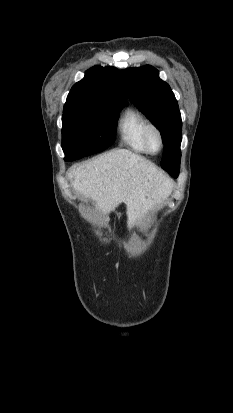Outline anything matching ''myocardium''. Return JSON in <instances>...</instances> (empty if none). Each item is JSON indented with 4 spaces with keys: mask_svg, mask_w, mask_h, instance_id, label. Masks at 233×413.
<instances>
[{
    "mask_svg": "<svg viewBox=\"0 0 233 413\" xmlns=\"http://www.w3.org/2000/svg\"><path fill=\"white\" fill-rule=\"evenodd\" d=\"M156 134L159 139V147L157 150H153L150 146V136L151 134ZM143 140L145 147L150 154H158L164 147V137L161 130L154 124L149 123L143 133Z\"/></svg>",
    "mask_w": 233,
    "mask_h": 413,
    "instance_id": "f54148a6",
    "label": "myocardium"
}]
</instances>
